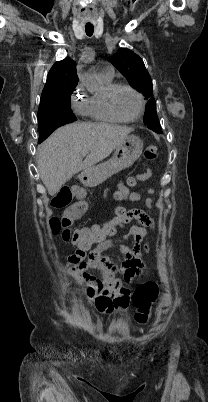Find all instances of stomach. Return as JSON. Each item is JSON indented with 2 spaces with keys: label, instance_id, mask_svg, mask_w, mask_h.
<instances>
[{
  "label": "stomach",
  "instance_id": "1",
  "mask_svg": "<svg viewBox=\"0 0 208 402\" xmlns=\"http://www.w3.org/2000/svg\"><path fill=\"white\" fill-rule=\"evenodd\" d=\"M144 144L137 136H127L124 142L117 146L111 160L103 162L95 168H89L84 174H81L80 180L84 186L94 188L99 186L102 182H105L107 178L130 168L138 158H140L143 152Z\"/></svg>",
  "mask_w": 208,
  "mask_h": 402
}]
</instances>
